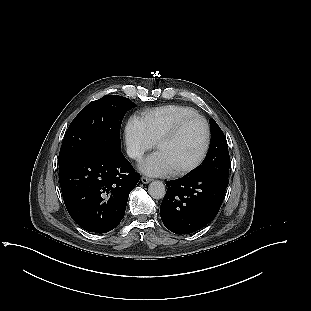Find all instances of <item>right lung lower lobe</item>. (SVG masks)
Returning a JSON list of instances; mask_svg holds the SVG:
<instances>
[{
	"instance_id": "98d812e1",
	"label": "right lung lower lobe",
	"mask_w": 311,
	"mask_h": 311,
	"mask_svg": "<svg viewBox=\"0 0 311 311\" xmlns=\"http://www.w3.org/2000/svg\"><path fill=\"white\" fill-rule=\"evenodd\" d=\"M139 179L121 152L84 154L59 169L70 216L83 229L96 233H106L120 223Z\"/></svg>"
}]
</instances>
